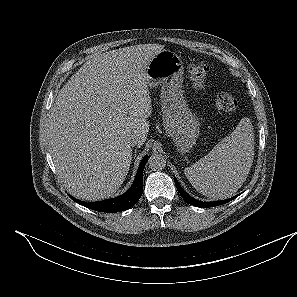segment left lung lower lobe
I'll return each instance as SVG.
<instances>
[{"label":"left lung lower lobe","mask_w":297,"mask_h":297,"mask_svg":"<svg viewBox=\"0 0 297 297\" xmlns=\"http://www.w3.org/2000/svg\"><path fill=\"white\" fill-rule=\"evenodd\" d=\"M175 184H176V187H177V190L178 192L180 193L181 197L189 204L191 205H194V206H197V207H203V208H206V207H215V206H219V205H222V204H225L233 199H235L238 195L232 197V198H229V199H226V200H221V201H215V202H202V201H198L194 198H192L191 196H189L183 189L182 187L179 185L178 181L175 179Z\"/></svg>","instance_id":"left-lung-lower-lobe-1"}]
</instances>
